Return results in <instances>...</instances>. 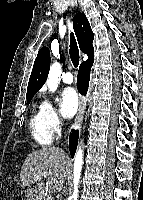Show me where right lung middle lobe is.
Here are the masks:
<instances>
[{"mask_svg": "<svg viewBox=\"0 0 143 200\" xmlns=\"http://www.w3.org/2000/svg\"><path fill=\"white\" fill-rule=\"evenodd\" d=\"M30 101H31V99H30V100H27V103L29 104V103H30Z\"/></svg>", "mask_w": 143, "mask_h": 200, "instance_id": "obj_1", "label": "right lung middle lobe"}]
</instances>
